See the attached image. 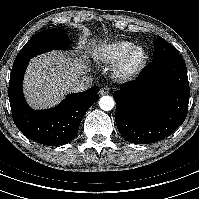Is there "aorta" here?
Returning a JSON list of instances; mask_svg holds the SVG:
<instances>
[{"mask_svg":"<svg viewBox=\"0 0 199 199\" xmlns=\"http://www.w3.org/2000/svg\"><path fill=\"white\" fill-rule=\"evenodd\" d=\"M115 101L111 96H103L99 99V106L103 111H110L114 108Z\"/></svg>","mask_w":199,"mask_h":199,"instance_id":"1","label":"aorta"}]
</instances>
